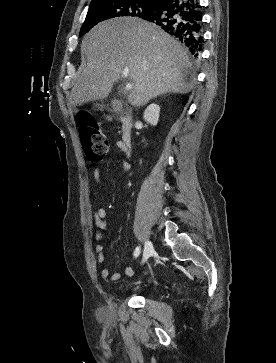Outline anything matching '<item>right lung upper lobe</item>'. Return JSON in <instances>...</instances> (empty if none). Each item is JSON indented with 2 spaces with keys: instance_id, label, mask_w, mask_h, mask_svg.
I'll return each mask as SVG.
<instances>
[{
  "instance_id": "obj_1",
  "label": "right lung upper lobe",
  "mask_w": 276,
  "mask_h": 363,
  "mask_svg": "<svg viewBox=\"0 0 276 363\" xmlns=\"http://www.w3.org/2000/svg\"><path fill=\"white\" fill-rule=\"evenodd\" d=\"M96 1H100V0H93L92 2H96ZM139 1H144V2L151 3L152 5H155V6H159L163 0H139Z\"/></svg>"
}]
</instances>
